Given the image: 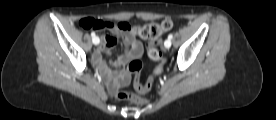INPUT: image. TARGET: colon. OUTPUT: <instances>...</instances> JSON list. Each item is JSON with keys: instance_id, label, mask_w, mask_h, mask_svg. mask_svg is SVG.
<instances>
[{"instance_id": "5ec220e1", "label": "colon", "mask_w": 276, "mask_h": 120, "mask_svg": "<svg viewBox=\"0 0 276 120\" xmlns=\"http://www.w3.org/2000/svg\"><path fill=\"white\" fill-rule=\"evenodd\" d=\"M78 25L84 29H101L104 24L101 20L94 18H83L78 22ZM173 23L170 19H165L161 23H149L141 27H134L132 30L138 34L142 39L146 41V48L148 56L158 61L159 64L154 68L152 74L145 82L140 79V73L142 69V63L139 60H133L128 65V71L134 77V87L139 93H146L153 87L155 80L164 69V58L159 46L162 42L163 34L171 30ZM116 97L120 100H132L138 105H145L147 99L134 95L126 89H119L116 92Z\"/></svg>"}]
</instances>
